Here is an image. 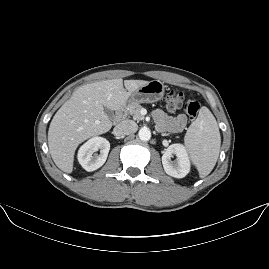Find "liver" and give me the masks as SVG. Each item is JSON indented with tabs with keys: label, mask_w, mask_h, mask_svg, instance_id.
Masks as SVG:
<instances>
[{
	"label": "liver",
	"mask_w": 269,
	"mask_h": 269,
	"mask_svg": "<svg viewBox=\"0 0 269 269\" xmlns=\"http://www.w3.org/2000/svg\"><path fill=\"white\" fill-rule=\"evenodd\" d=\"M144 80L111 79L78 88L53 117L48 131V146L57 167L66 173L73 170L74 153L86 139L108 132L112 122L104 112L125 106L128 98Z\"/></svg>",
	"instance_id": "1"
}]
</instances>
